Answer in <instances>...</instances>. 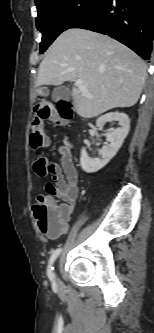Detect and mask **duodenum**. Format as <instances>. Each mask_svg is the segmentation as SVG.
<instances>
[{
	"instance_id": "410a0bca",
	"label": "duodenum",
	"mask_w": 154,
	"mask_h": 333,
	"mask_svg": "<svg viewBox=\"0 0 154 333\" xmlns=\"http://www.w3.org/2000/svg\"><path fill=\"white\" fill-rule=\"evenodd\" d=\"M62 104H63V106L60 108L62 114L65 115V116H69L70 113H71V110H70V108H69V105L66 104V103H62Z\"/></svg>"
}]
</instances>
